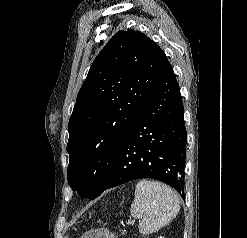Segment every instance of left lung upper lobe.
Wrapping results in <instances>:
<instances>
[{"label":"left lung upper lobe","mask_w":247,"mask_h":238,"mask_svg":"<svg viewBox=\"0 0 247 238\" xmlns=\"http://www.w3.org/2000/svg\"><path fill=\"white\" fill-rule=\"evenodd\" d=\"M167 62L154 41L133 29L116 33L95 58L68 125L67 176L81 197L101 194L116 154Z\"/></svg>","instance_id":"left-lung-upper-lobe-1"}]
</instances>
